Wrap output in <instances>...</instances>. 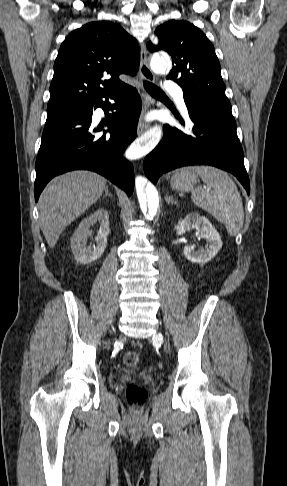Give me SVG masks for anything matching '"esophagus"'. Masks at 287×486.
<instances>
[{
  "mask_svg": "<svg viewBox=\"0 0 287 486\" xmlns=\"http://www.w3.org/2000/svg\"><path fill=\"white\" fill-rule=\"evenodd\" d=\"M140 74L145 81L150 83H154L155 76L151 69L149 68L148 61H147V52L145 45H141V52H140ZM154 103L153 99L147 94L143 93V109L146 112L151 105ZM149 125L143 120V118L138 123L137 133L138 135L144 134L148 131Z\"/></svg>",
  "mask_w": 287,
  "mask_h": 486,
  "instance_id": "obj_1",
  "label": "esophagus"
}]
</instances>
